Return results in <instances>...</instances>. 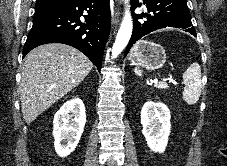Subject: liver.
I'll return each instance as SVG.
<instances>
[{"mask_svg":"<svg viewBox=\"0 0 227 166\" xmlns=\"http://www.w3.org/2000/svg\"><path fill=\"white\" fill-rule=\"evenodd\" d=\"M93 67L79 50L65 44L41 45L27 54L19 88L27 124L79 85Z\"/></svg>","mask_w":227,"mask_h":166,"instance_id":"1","label":"liver"}]
</instances>
